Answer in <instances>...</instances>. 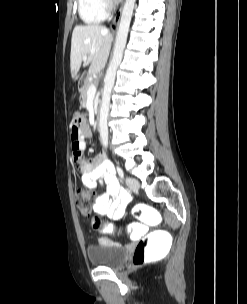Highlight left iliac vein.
Segmentation results:
<instances>
[{
	"instance_id": "4c4485c4",
	"label": "left iliac vein",
	"mask_w": 247,
	"mask_h": 304,
	"mask_svg": "<svg viewBox=\"0 0 247 304\" xmlns=\"http://www.w3.org/2000/svg\"><path fill=\"white\" fill-rule=\"evenodd\" d=\"M126 184L132 191H138L140 187L139 181L133 177H127Z\"/></svg>"
}]
</instances>
